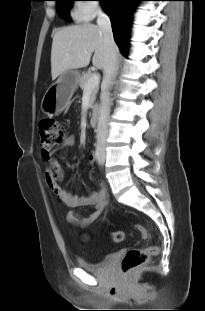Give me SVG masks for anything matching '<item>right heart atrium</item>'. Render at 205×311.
<instances>
[{"label": "right heart atrium", "instance_id": "right-heart-atrium-1", "mask_svg": "<svg viewBox=\"0 0 205 311\" xmlns=\"http://www.w3.org/2000/svg\"><path fill=\"white\" fill-rule=\"evenodd\" d=\"M101 8L95 0H79L76 8V16L82 20H91Z\"/></svg>", "mask_w": 205, "mask_h": 311}]
</instances>
